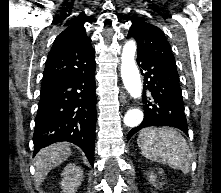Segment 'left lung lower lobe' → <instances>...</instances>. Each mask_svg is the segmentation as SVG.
I'll list each match as a JSON object with an SVG mask.
<instances>
[{
    "mask_svg": "<svg viewBox=\"0 0 221 193\" xmlns=\"http://www.w3.org/2000/svg\"><path fill=\"white\" fill-rule=\"evenodd\" d=\"M137 63L144 76V119L129 131L128 139L150 126H172L188 134L176 66L138 51Z\"/></svg>",
    "mask_w": 221,
    "mask_h": 193,
    "instance_id": "1",
    "label": "left lung lower lobe"
}]
</instances>
